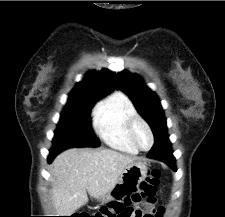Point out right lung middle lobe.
<instances>
[{"instance_id": "right-lung-middle-lobe-1", "label": "right lung middle lobe", "mask_w": 225, "mask_h": 217, "mask_svg": "<svg viewBox=\"0 0 225 217\" xmlns=\"http://www.w3.org/2000/svg\"><path fill=\"white\" fill-rule=\"evenodd\" d=\"M99 97L69 98L58 123L53 149L61 152L71 147H97L100 145L90 125V112Z\"/></svg>"}]
</instances>
